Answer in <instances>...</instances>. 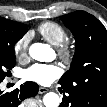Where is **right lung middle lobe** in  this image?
Segmentation results:
<instances>
[{
  "label": "right lung middle lobe",
  "mask_w": 107,
  "mask_h": 107,
  "mask_svg": "<svg viewBox=\"0 0 107 107\" xmlns=\"http://www.w3.org/2000/svg\"><path fill=\"white\" fill-rule=\"evenodd\" d=\"M9 29L12 35L10 43L0 45V82L7 75L6 70H11L15 66V51L13 46L27 32L28 26L19 22L10 21Z\"/></svg>",
  "instance_id": "dd1d6c3e"
}]
</instances>
